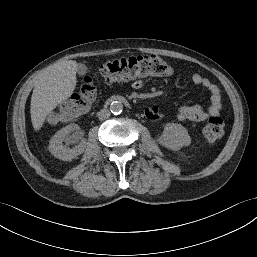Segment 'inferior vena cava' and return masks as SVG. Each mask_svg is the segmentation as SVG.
Listing matches in <instances>:
<instances>
[{"label": "inferior vena cava", "instance_id": "602c4592", "mask_svg": "<svg viewBox=\"0 0 257 257\" xmlns=\"http://www.w3.org/2000/svg\"><path fill=\"white\" fill-rule=\"evenodd\" d=\"M97 115L100 120H105L110 117V111L108 109H102L97 113Z\"/></svg>", "mask_w": 257, "mask_h": 257}]
</instances>
